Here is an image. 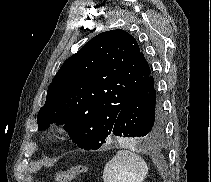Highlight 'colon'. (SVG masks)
<instances>
[{
    "mask_svg": "<svg viewBox=\"0 0 211 182\" xmlns=\"http://www.w3.org/2000/svg\"><path fill=\"white\" fill-rule=\"evenodd\" d=\"M87 171V166L85 164H79L73 166L69 170L60 172L56 175V179L58 182H69L75 179L77 176L85 173Z\"/></svg>",
    "mask_w": 211,
    "mask_h": 182,
    "instance_id": "1",
    "label": "colon"
}]
</instances>
